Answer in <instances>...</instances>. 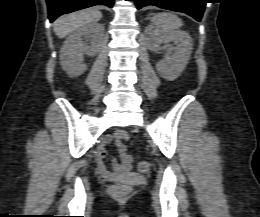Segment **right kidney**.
Masks as SVG:
<instances>
[{"instance_id":"ca27d5eb","label":"right kidney","mask_w":260,"mask_h":217,"mask_svg":"<svg viewBox=\"0 0 260 217\" xmlns=\"http://www.w3.org/2000/svg\"><path fill=\"white\" fill-rule=\"evenodd\" d=\"M103 32L102 24L89 23L79 27L67 37L60 52V60L63 70L69 76H79L87 69L83 56L84 54L94 56L99 52Z\"/></svg>"}]
</instances>
